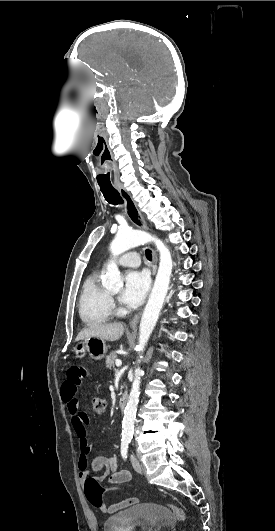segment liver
I'll return each instance as SVG.
<instances>
[{
  "label": "liver",
  "mask_w": 275,
  "mask_h": 531,
  "mask_svg": "<svg viewBox=\"0 0 275 531\" xmlns=\"http://www.w3.org/2000/svg\"><path fill=\"white\" fill-rule=\"evenodd\" d=\"M124 331L125 327L121 323H93V325H88V329H82L75 341H83L89 337H99L104 341H118Z\"/></svg>",
  "instance_id": "6515ba94"
}]
</instances>
